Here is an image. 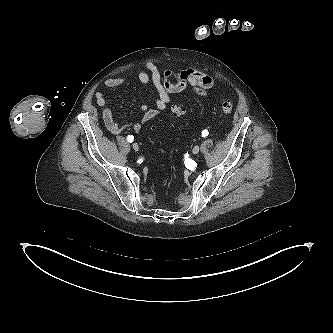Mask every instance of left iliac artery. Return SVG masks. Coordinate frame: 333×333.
<instances>
[{
  "label": "left iliac artery",
  "mask_w": 333,
  "mask_h": 333,
  "mask_svg": "<svg viewBox=\"0 0 333 333\" xmlns=\"http://www.w3.org/2000/svg\"><path fill=\"white\" fill-rule=\"evenodd\" d=\"M208 134H209L208 130L202 131V137H206V136H208Z\"/></svg>",
  "instance_id": "44dca946"
}]
</instances>
